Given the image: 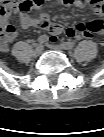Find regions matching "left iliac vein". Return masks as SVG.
I'll return each instance as SVG.
<instances>
[{
  "mask_svg": "<svg viewBox=\"0 0 104 137\" xmlns=\"http://www.w3.org/2000/svg\"><path fill=\"white\" fill-rule=\"evenodd\" d=\"M50 48L56 51H63L66 49V44L51 45Z\"/></svg>",
  "mask_w": 104,
  "mask_h": 137,
  "instance_id": "obj_1",
  "label": "left iliac vein"
}]
</instances>
